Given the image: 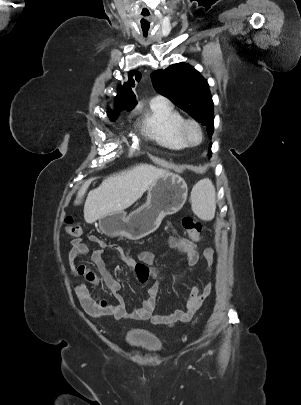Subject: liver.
Wrapping results in <instances>:
<instances>
[{"label":"liver","instance_id":"6515ba94","mask_svg":"<svg viewBox=\"0 0 301 405\" xmlns=\"http://www.w3.org/2000/svg\"><path fill=\"white\" fill-rule=\"evenodd\" d=\"M165 170L149 164H138L128 170L105 178L99 187L91 190L84 205L86 222L93 223L106 215L120 212L134 204L152 183L165 174ZM84 182L77 193L75 204L81 203L91 184Z\"/></svg>","mask_w":301,"mask_h":405}]
</instances>
